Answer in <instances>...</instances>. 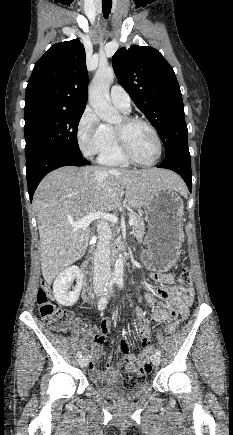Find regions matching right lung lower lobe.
Returning <instances> with one entry per match:
<instances>
[{
	"mask_svg": "<svg viewBox=\"0 0 233 435\" xmlns=\"http://www.w3.org/2000/svg\"><path fill=\"white\" fill-rule=\"evenodd\" d=\"M90 164L82 155H76L60 149H42L27 155L26 177L30 201H32L38 184L49 172L63 166H85Z\"/></svg>",
	"mask_w": 233,
	"mask_h": 435,
	"instance_id": "right-lung-lower-lobe-1",
	"label": "right lung lower lobe"
}]
</instances>
